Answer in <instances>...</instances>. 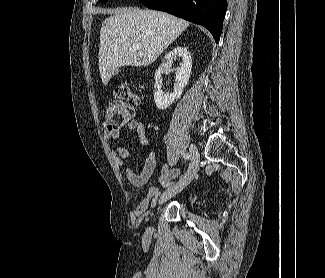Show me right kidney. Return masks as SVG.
Returning a JSON list of instances; mask_svg holds the SVG:
<instances>
[{"label": "right kidney", "instance_id": "ca27d5eb", "mask_svg": "<svg viewBox=\"0 0 325 278\" xmlns=\"http://www.w3.org/2000/svg\"><path fill=\"white\" fill-rule=\"evenodd\" d=\"M180 57L182 63L176 68V82L177 85L173 92L168 94L162 91L159 80L164 69L171 68L173 59ZM192 69V59L186 47L177 46L167 53L161 66L155 72V85H154V100L157 108L164 110L167 109L175 100H178L184 87L187 85Z\"/></svg>", "mask_w": 325, "mask_h": 278}]
</instances>
